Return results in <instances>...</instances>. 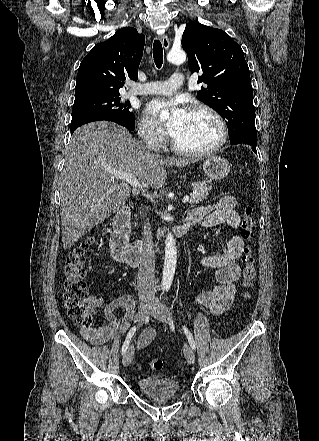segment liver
Here are the masks:
<instances>
[{
    "label": "liver",
    "mask_w": 319,
    "mask_h": 441,
    "mask_svg": "<svg viewBox=\"0 0 319 441\" xmlns=\"http://www.w3.org/2000/svg\"><path fill=\"white\" fill-rule=\"evenodd\" d=\"M194 159H165L151 154L120 125L97 121L79 127L66 149L60 176L62 244L77 240L128 201L131 188L111 170L133 173L142 187L166 182L165 166L185 167Z\"/></svg>",
    "instance_id": "obj_1"
}]
</instances>
